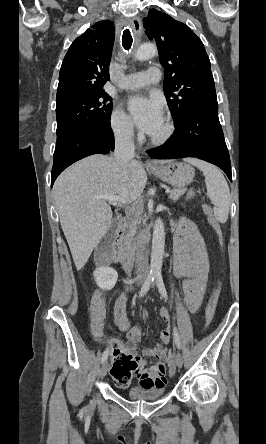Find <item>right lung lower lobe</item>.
Listing matches in <instances>:
<instances>
[{
	"instance_id": "right-lung-lower-lobe-1",
	"label": "right lung lower lobe",
	"mask_w": 266,
	"mask_h": 444,
	"mask_svg": "<svg viewBox=\"0 0 266 444\" xmlns=\"http://www.w3.org/2000/svg\"><path fill=\"white\" fill-rule=\"evenodd\" d=\"M114 150V135L110 125L79 131L56 145L51 173V187L58 175L74 162L93 154H108Z\"/></svg>"
}]
</instances>
